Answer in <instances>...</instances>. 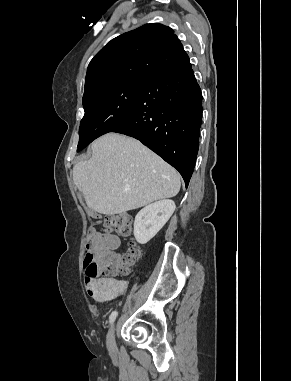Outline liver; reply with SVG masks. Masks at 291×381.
<instances>
[{
    "mask_svg": "<svg viewBox=\"0 0 291 381\" xmlns=\"http://www.w3.org/2000/svg\"><path fill=\"white\" fill-rule=\"evenodd\" d=\"M87 206L114 215L178 194L180 175L140 141L108 133L92 143V157L73 167Z\"/></svg>",
    "mask_w": 291,
    "mask_h": 381,
    "instance_id": "obj_1",
    "label": "liver"
}]
</instances>
